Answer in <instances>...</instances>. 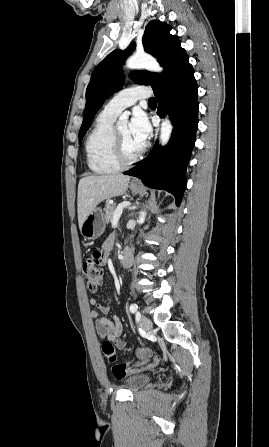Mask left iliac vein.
<instances>
[{
  "label": "left iliac vein",
  "instance_id": "left-iliac-vein-1",
  "mask_svg": "<svg viewBox=\"0 0 269 447\" xmlns=\"http://www.w3.org/2000/svg\"><path fill=\"white\" fill-rule=\"evenodd\" d=\"M139 325L148 332L152 328L151 321L146 316H141L139 320Z\"/></svg>",
  "mask_w": 269,
  "mask_h": 447
}]
</instances>
